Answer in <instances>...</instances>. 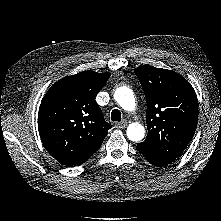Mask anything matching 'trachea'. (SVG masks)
Returning <instances> with one entry per match:
<instances>
[{
  "label": "trachea",
  "instance_id": "trachea-1",
  "mask_svg": "<svg viewBox=\"0 0 221 221\" xmlns=\"http://www.w3.org/2000/svg\"><path fill=\"white\" fill-rule=\"evenodd\" d=\"M112 121H121V112L118 109H113L111 112Z\"/></svg>",
  "mask_w": 221,
  "mask_h": 221
}]
</instances>
